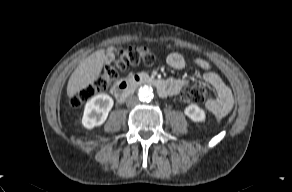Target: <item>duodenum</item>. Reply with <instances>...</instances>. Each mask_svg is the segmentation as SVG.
I'll return each instance as SVG.
<instances>
[{
    "label": "duodenum",
    "instance_id": "obj_1",
    "mask_svg": "<svg viewBox=\"0 0 292 192\" xmlns=\"http://www.w3.org/2000/svg\"><path fill=\"white\" fill-rule=\"evenodd\" d=\"M140 85H150L156 88L161 96L168 94V84L165 80L152 78L147 75H135L117 83L112 93L119 102H123Z\"/></svg>",
    "mask_w": 292,
    "mask_h": 192
}]
</instances>
